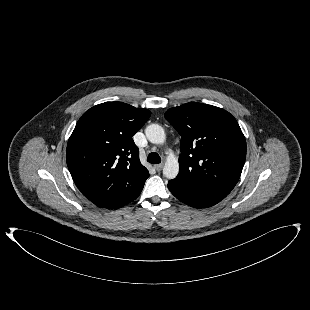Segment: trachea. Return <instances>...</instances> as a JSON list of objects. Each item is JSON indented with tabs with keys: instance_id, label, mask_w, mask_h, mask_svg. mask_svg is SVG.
I'll return each mask as SVG.
<instances>
[{
	"instance_id": "obj_1",
	"label": "trachea",
	"mask_w": 310,
	"mask_h": 310,
	"mask_svg": "<svg viewBox=\"0 0 310 310\" xmlns=\"http://www.w3.org/2000/svg\"><path fill=\"white\" fill-rule=\"evenodd\" d=\"M147 161L151 164H159L161 162V158L156 152H152L148 155Z\"/></svg>"
}]
</instances>
